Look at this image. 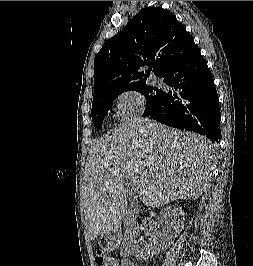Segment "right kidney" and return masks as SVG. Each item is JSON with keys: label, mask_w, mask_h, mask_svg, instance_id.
Wrapping results in <instances>:
<instances>
[{"label": "right kidney", "mask_w": 253, "mask_h": 266, "mask_svg": "<svg viewBox=\"0 0 253 266\" xmlns=\"http://www.w3.org/2000/svg\"><path fill=\"white\" fill-rule=\"evenodd\" d=\"M175 215V214H174ZM184 220V218H183ZM183 220L174 223L170 234H162L155 228L156 224L149 222L138 225L128 236L130 253L138 258L148 259L164 251L178 236L183 228ZM143 233V235H141Z\"/></svg>", "instance_id": "right-kidney-1"}]
</instances>
